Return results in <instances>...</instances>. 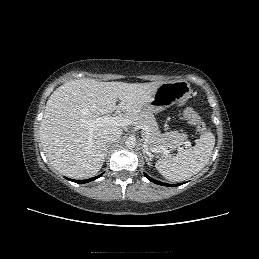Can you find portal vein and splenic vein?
<instances>
[{"label":"portal vein and splenic vein","mask_w":259,"mask_h":259,"mask_svg":"<svg viewBox=\"0 0 259 259\" xmlns=\"http://www.w3.org/2000/svg\"><path fill=\"white\" fill-rule=\"evenodd\" d=\"M83 123L89 127L90 130H93L95 127L103 126V125H116V126H129L134 124L131 119L123 118V117H112V116H103L94 119L84 120ZM190 142H186V146H189ZM146 147V146H145ZM153 152H164L169 153V150L162 146L160 148L152 149Z\"/></svg>","instance_id":"1"}]
</instances>
